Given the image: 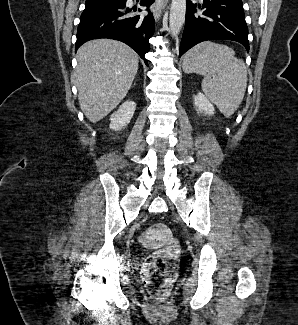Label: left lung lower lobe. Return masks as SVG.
I'll return each instance as SVG.
<instances>
[{
	"label": "left lung lower lobe",
	"instance_id": "left-lung-lower-lobe-1",
	"mask_svg": "<svg viewBox=\"0 0 298 325\" xmlns=\"http://www.w3.org/2000/svg\"><path fill=\"white\" fill-rule=\"evenodd\" d=\"M196 7L205 11L196 13ZM214 39L237 41L249 51L242 0H204L202 5L187 2L179 57L194 45Z\"/></svg>",
	"mask_w": 298,
	"mask_h": 325
}]
</instances>
